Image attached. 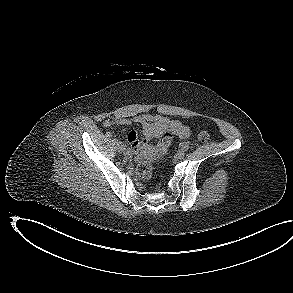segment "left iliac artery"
Listing matches in <instances>:
<instances>
[{
  "label": "left iliac artery",
  "mask_w": 293,
  "mask_h": 293,
  "mask_svg": "<svg viewBox=\"0 0 293 293\" xmlns=\"http://www.w3.org/2000/svg\"><path fill=\"white\" fill-rule=\"evenodd\" d=\"M180 149H181L182 151H187V150H188V145L185 144V143H181V144H180Z\"/></svg>",
  "instance_id": "obj_1"
}]
</instances>
